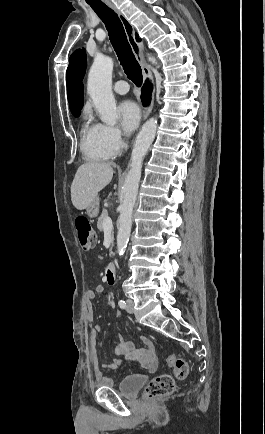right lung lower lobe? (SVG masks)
I'll list each match as a JSON object with an SVG mask.
<instances>
[{"instance_id":"obj_1","label":"right lung lower lobe","mask_w":265,"mask_h":434,"mask_svg":"<svg viewBox=\"0 0 265 434\" xmlns=\"http://www.w3.org/2000/svg\"><path fill=\"white\" fill-rule=\"evenodd\" d=\"M151 91H152V86L149 83V81H146V83L142 88V94H141V99L144 105H148V102L150 101L149 95L151 94Z\"/></svg>"}]
</instances>
